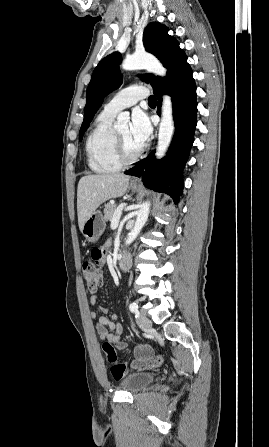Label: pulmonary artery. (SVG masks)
I'll list each match as a JSON object with an SVG mask.
<instances>
[{
    "mask_svg": "<svg viewBox=\"0 0 269 447\" xmlns=\"http://www.w3.org/2000/svg\"><path fill=\"white\" fill-rule=\"evenodd\" d=\"M148 94V90L143 86H130L116 93L114 97L105 104L104 111L115 115L123 109L131 107L138 101L146 98Z\"/></svg>",
    "mask_w": 269,
    "mask_h": 447,
    "instance_id": "1",
    "label": "pulmonary artery"
}]
</instances>
